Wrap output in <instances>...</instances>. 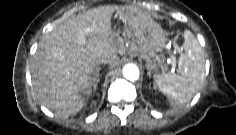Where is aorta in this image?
Masks as SVG:
<instances>
[{
    "instance_id": "aorta-1",
    "label": "aorta",
    "mask_w": 236,
    "mask_h": 135,
    "mask_svg": "<svg viewBox=\"0 0 236 135\" xmlns=\"http://www.w3.org/2000/svg\"><path fill=\"white\" fill-rule=\"evenodd\" d=\"M122 74L129 81H135L140 76L139 68L132 63H128L123 66Z\"/></svg>"
}]
</instances>
